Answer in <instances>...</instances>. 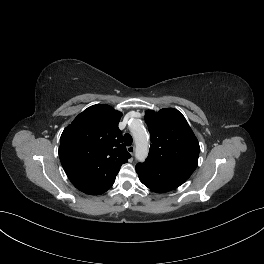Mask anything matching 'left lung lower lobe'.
Listing matches in <instances>:
<instances>
[{
	"instance_id": "0a47b994",
	"label": "left lung lower lobe",
	"mask_w": 264,
	"mask_h": 264,
	"mask_svg": "<svg viewBox=\"0 0 264 264\" xmlns=\"http://www.w3.org/2000/svg\"><path fill=\"white\" fill-rule=\"evenodd\" d=\"M136 171L140 181L157 193L171 191L185 181L165 173L159 166L150 162L138 163Z\"/></svg>"
}]
</instances>
